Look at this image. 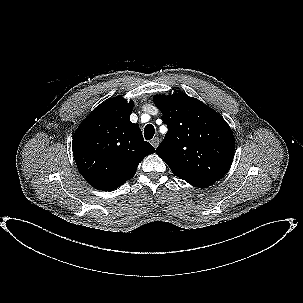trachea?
<instances>
[{
	"label": "trachea",
	"instance_id": "3493384b",
	"mask_svg": "<svg viewBox=\"0 0 303 303\" xmlns=\"http://www.w3.org/2000/svg\"><path fill=\"white\" fill-rule=\"evenodd\" d=\"M155 133L154 126L152 124H148L144 128V137L146 140H150L153 138Z\"/></svg>",
	"mask_w": 303,
	"mask_h": 303
}]
</instances>
